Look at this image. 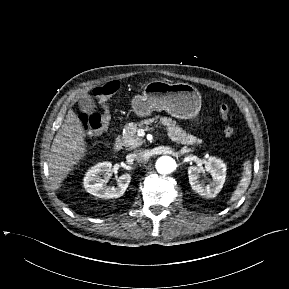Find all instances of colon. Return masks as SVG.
<instances>
[{
  "label": "colon",
  "instance_id": "5ec220e1",
  "mask_svg": "<svg viewBox=\"0 0 289 289\" xmlns=\"http://www.w3.org/2000/svg\"><path fill=\"white\" fill-rule=\"evenodd\" d=\"M119 87V82L113 80L97 86L94 89V95L103 103L102 112L91 114L82 113L79 116V120L85 130L92 133H99L107 128L110 121V115L106 101L118 91ZM219 113L222 118L227 119L230 115L229 106L225 103L220 104ZM224 133L227 137H232L235 134V130L231 126H226Z\"/></svg>",
  "mask_w": 289,
  "mask_h": 289
}]
</instances>
